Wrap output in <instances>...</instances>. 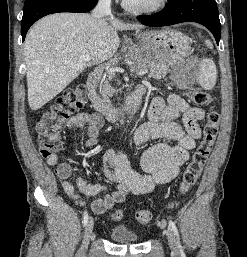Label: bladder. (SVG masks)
Returning <instances> with one entry per match:
<instances>
[{
	"mask_svg": "<svg viewBox=\"0 0 247 257\" xmlns=\"http://www.w3.org/2000/svg\"><path fill=\"white\" fill-rule=\"evenodd\" d=\"M110 238L116 243H132L139 240V236L125 227H114L110 231Z\"/></svg>",
	"mask_w": 247,
	"mask_h": 257,
	"instance_id": "1",
	"label": "bladder"
}]
</instances>
